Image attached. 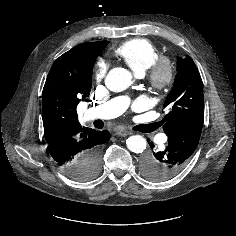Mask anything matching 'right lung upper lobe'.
I'll return each mask as SVG.
<instances>
[{
  "instance_id": "1",
  "label": "right lung upper lobe",
  "mask_w": 236,
  "mask_h": 236,
  "mask_svg": "<svg viewBox=\"0 0 236 236\" xmlns=\"http://www.w3.org/2000/svg\"><path fill=\"white\" fill-rule=\"evenodd\" d=\"M108 41L87 42L61 55L47 76L42 98L44 136L48 144L82 138L94 129L82 127L76 107L89 96L95 59Z\"/></svg>"
}]
</instances>
